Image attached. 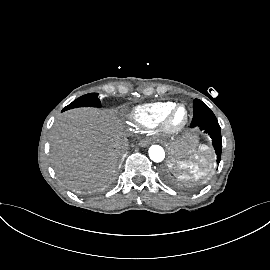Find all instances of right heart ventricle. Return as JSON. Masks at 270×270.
<instances>
[{"label": "right heart ventricle", "mask_w": 270, "mask_h": 270, "mask_svg": "<svg viewBox=\"0 0 270 270\" xmlns=\"http://www.w3.org/2000/svg\"><path fill=\"white\" fill-rule=\"evenodd\" d=\"M174 105L175 103L172 101L139 105L132 110L130 118L140 128L155 129L162 125L166 114Z\"/></svg>", "instance_id": "right-heart-ventricle-1"}]
</instances>
